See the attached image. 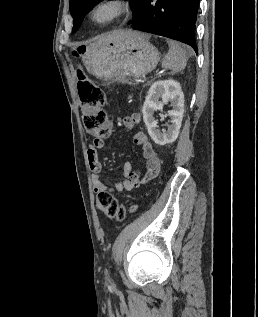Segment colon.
Listing matches in <instances>:
<instances>
[{
    "instance_id": "colon-1",
    "label": "colon",
    "mask_w": 258,
    "mask_h": 317,
    "mask_svg": "<svg viewBox=\"0 0 258 317\" xmlns=\"http://www.w3.org/2000/svg\"><path fill=\"white\" fill-rule=\"evenodd\" d=\"M79 52H75L78 55ZM82 121L86 132L94 138H107L111 133V123L104 110L105 95L81 71L77 81ZM96 206L106 217L122 221L135 210L134 206L120 204L108 192H100L96 197Z\"/></svg>"
}]
</instances>
